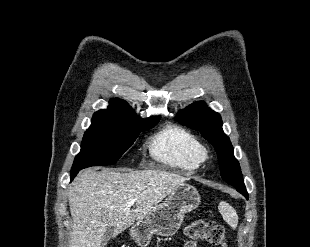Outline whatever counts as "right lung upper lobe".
<instances>
[{
  "mask_svg": "<svg viewBox=\"0 0 310 247\" xmlns=\"http://www.w3.org/2000/svg\"><path fill=\"white\" fill-rule=\"evenodd\" d=\"M109 103L110 105L108 106V109L99 110L93 115V117H108L133 122H147L151 119L157 118L150 117L147 120H142L137 116L127 102L121 99H111Z\"/></svg>",
  "mask_w": 310,
  "mask_h": 247,
  "instance_id": "obj_1",
  "label": "right lung upper lobe"
}]
</instances>
